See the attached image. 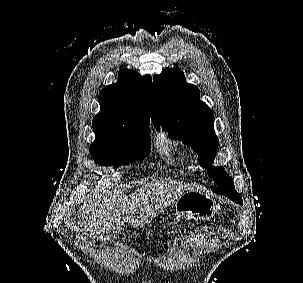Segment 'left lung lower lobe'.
Instances as JSON below:
<instances>
[{"mask_svg":"<svg viewBox=\"0 0 303 283\" xmlns=\"http://www.w3.org/2000/svg\"><path fill=\"white\" fill-rule=\"evenodd\" d=\"M223 195L228 196L231 200H234L235 202L242 203V197L239 194L230 193V194H223Z\"/></svg>","mask_w":303,"mask_h":283,"instance_id":"left-lung-lower-lobe-1","label":"left lung lower lobe"}]
</instances>
